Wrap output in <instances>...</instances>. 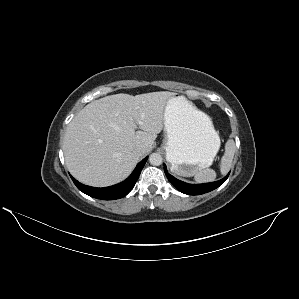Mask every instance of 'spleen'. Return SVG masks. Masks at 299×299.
Wrapping results in <instances>:
<instances>
[{
	"instance_id": "obj_1",
	"label": "spleen",
	"mask_w": 299,
	"mask_h": 299,
	"mask_svg": "<svg viewBox=\"0 0 299 299\" xmlns=\"http://www.w3.org/2000/svg\"><path fill=\"white\" fill-rule=\"evenodd\" d=\"M235 151V142L234 140L229 139L225 144V153L222 156L220 163V171L223 175L228 173V171L230 170ZM215 178L216 172L213 169L209 168L198 171L194 176L195 181L198 183L212 182L215 180Z\"/></svg>"
}]
</instances>
